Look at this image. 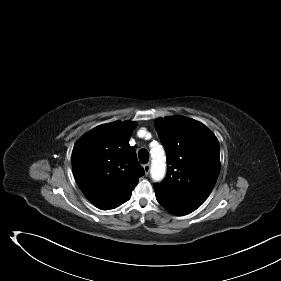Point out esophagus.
Wrapping results in <instances>:
<instances>
[{
    "instance_id": "34e87169",
    "label": "esophagus",
    "mask_w": 281,
    "mask_h": 281,
    "mask_svg": "<svg viewBox=\"0 0 281 281\" xmlns=\"http://www.w3.org/2000/svg\"><path fill=\"white\" fill-rule=\"evenodd\" d=\"M145 174L148 175L149 171H150V164L147 163L143 166Z\"/></svg>"
}]
</instances>
